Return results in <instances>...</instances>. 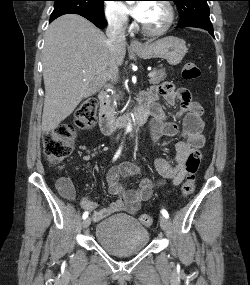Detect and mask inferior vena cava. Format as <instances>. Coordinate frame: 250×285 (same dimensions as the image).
Listing matches in <instances>:
<instances>
[{
  "mask_svg": "<svg viewBox=\"0 0 250 285\" xmlns=\"http://www.w3.org/2000/svg\"><path fill=\"white\" fill-rule=\"evenodd\" d=\"M127 27V20L115 15L111 17L106 29L107 46L111 53H115L121 44L126 43L125 31ZM118 76V67L113 64L109 67V79L116 81Z\"/></svg>",
  "mask_w": 250,
  "mask_h": 285,
  "instance_id": "602c4592",
  "label": "inferior vena cava"
}]
</instances>
